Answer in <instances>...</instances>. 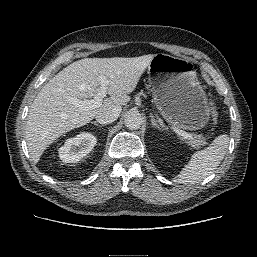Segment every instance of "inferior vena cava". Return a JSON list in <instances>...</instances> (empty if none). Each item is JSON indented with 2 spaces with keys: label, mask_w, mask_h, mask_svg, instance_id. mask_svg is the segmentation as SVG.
<instances>
[{
  "label": "inferior vena cava",
  "mask_w": 257,
  "mask_h": 257,
  "mask_svg": "<svg viewBox=\"0 0 257 257\" xmlns=\"http://www.w3.org/2000/svg\"><path fill=\"white\" fill-rule=\"evenodd\" d=\"M121 113V107L120 106H110L109 108L102 109L97 112L95 118L96 121L100 124H109L114 122L119 114Z\"/></svg>",
  "instance_id": "1"
}]
</instances>
